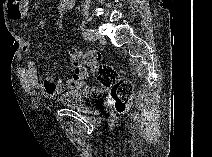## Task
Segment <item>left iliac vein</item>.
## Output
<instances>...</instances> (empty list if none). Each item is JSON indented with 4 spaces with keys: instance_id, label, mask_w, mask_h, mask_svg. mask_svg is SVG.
<instances>
[{
    "instance_id": "4c4485c4",
    "label": "left iliac vein",
    "mask_w": 212,
    "mask_h": 157,
    "mask_svg": "<svg viewBox=\"0 0 212 157\" xmlns=\"http://www.w3.org/2000/svg\"><path fill=\"white\" fill-rule=\"evenodd\" d=\"M93 35L96 40L105 43V38L97 30H94Z\"/></svg>"
}]
</instances>
